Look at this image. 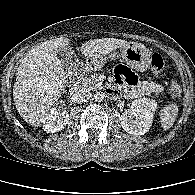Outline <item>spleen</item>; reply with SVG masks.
Returning a JSON list of instances; mask_svg holds the SVG:
<instances>
[{"label":"spleen","instance_id":"obj_1","mask_svg":"<svg viewBox=\"0 0 195 195\" xmlns=\"http://www.w3.org/2000/svg\"><path fill=\"white\" fill-rule=\"evenodd\" d=\"M177 113L178 106L176 103H171L161 110L160 122L165 131L171 128L176 120Z\"/></svg>","mask_w":195,"mask_h":195}]
</instances>
